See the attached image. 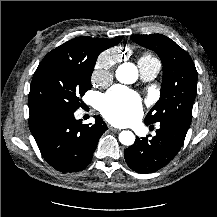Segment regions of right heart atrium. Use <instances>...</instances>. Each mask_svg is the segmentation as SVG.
Listing matches in <instances>:
<instances>
[{"instance_id": "1", "label": "right heart atrium", "mask_w": 217, "mask_h": 217, "mask_svg": "<svg viewBox=\"0 0 217 217\" xmlns=\"http://www.w3.org/2000/svg\"><path fill=\"white\" fill-rule=\"evenodd\" d=\"M117 60L116 52L113 50L104 51L97 59L92 78L93 81L105 85L112 80L113 67Z\"/></svg>"}]
</instances>
